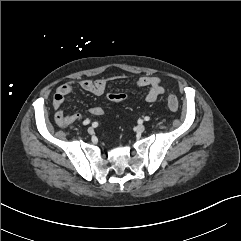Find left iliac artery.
I'll return each mask as SVG.
<instances>
[{
	"label": "left iliac artery",
	"mask_w": 241,
	"mask_h": 241,
	"mask_svg": "<svg viewBox=\"0 0 241 241\" xmlns=\"http://www.w3.org/2000/svg\"><path fill=\"white\" fill-rule=\"evenodd\" d=\"M144 120H145V121H149V120H150V117H149V116H146V117L144 118Z\"/></svg>",
	"instance_id": "1"
}]
</instances>
